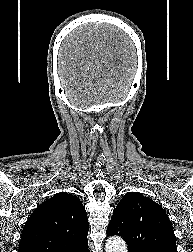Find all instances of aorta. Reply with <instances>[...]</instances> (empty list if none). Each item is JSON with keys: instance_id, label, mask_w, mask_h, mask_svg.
I'll list each match as a JSON object with an SVG mask.
<instances>
[{"instance_id": "762f6f07", "label": "aorta", "mask_w": 193, "mask_h": 252, "mask_svg": "<svg viewBox=\"0 0 193 252\" xmlns=\"http://www.w3.org/2000/svg\"><path fill=\"white\" fill-rule=\"evenodd\" d=\"M106 252H127V245L120 237L112 236L107 239L105 245Z\"/></svg>"}]
</instances>
